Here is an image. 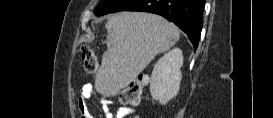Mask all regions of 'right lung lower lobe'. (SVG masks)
I'll return each instance as SVG.
<instances>
[{
    "label": "right lung lower lobe",
    "instance_id": "obj_1",
    "mask_svg": "<svg viewBox=\"0 0 273 118\" xmlns=\"http://www.w3.org/2000/svg\"><path fill=\"white\" fill-rule=\"evenodd\" d=\"M205 0H125L111 13L118 11H141L165 17L180 27L198 46L203 26Z\"/></svg>",
    "mask_w": 273,
    "mask_h": 118
}]
</instances>
